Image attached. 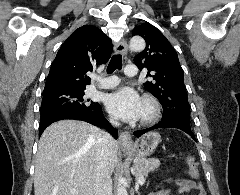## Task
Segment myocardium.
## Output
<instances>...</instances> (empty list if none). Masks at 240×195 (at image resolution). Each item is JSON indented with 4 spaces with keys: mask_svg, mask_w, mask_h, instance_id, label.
Segmentation results:
<instances>
[{
    "mask_svg": "<svg viewBox=\"0 0 240 195\" xmlns=\"http://www.w3.org/2000/svg\"><path fill=\"white\" fill-rule=\"evenodd\" d=\"M142 103L147 105L149 108V112L146 116L139 119L138 124L136 127H147L154 124L161 113V107L159 101L150 94H145L142 97Z\"/></svg>",
    "mask_w": 240,
    "mask_h": 195,
    "instance_id": "f54148a6",
    "label": "myocardium"
}]
</instances>
